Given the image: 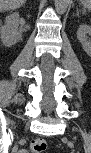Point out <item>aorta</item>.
<instances>
[{
	"instance_id": "obj_1",
	"label": "aorta",
	"mask_w": 91,
	"mask_h": 153,
	"mask_svg": "<svg viewBox=\"0 0 91 153\" xmlns=\"http://www.w3.org/2000/svg\"><path fill=\"white\" fill-rule=\"evenodd\" d=\"M69 6V0H55V9L59 14H63L67 11Z\"/></svg>"
}]
</instances>
